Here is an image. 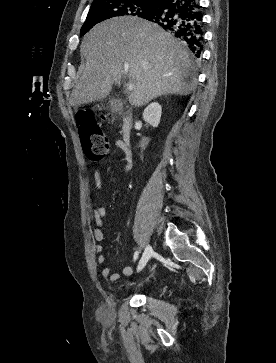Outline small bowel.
Listing matches in <instances>:
<instances>
[{"label":"small bowel","instance_id":"small-bowel-1","mask_svg":"<svg viewBox=\"0 0 276 363\" xmlns=\"http://www.w3.org/2000/svg\"><path fill=\"white\" fill-rule=\"evenodd\" d=\"M116 146L119 148L124 147V143L120 140L116 141ZM132 167V156L130 153H126L124 158V169L129 170ZM95 186L98 191L102 189V180L101 174L98 170H95L93 173ZM107 214L106 207H97L93 210L92 217L96 223V228L94 229V237L97 241V245L95 247V253L97 256V263L101 266L100 274L103 278L110 280L111 282H117L121 275L124 276H132L133 275V268L131 266H124L121 269V273H111L110 268L106 265V257L104 255V247L101 244L103 241V232L102 228L104 226L103 219Z\"/></svg>","mask_w":276,"mask_h":363}]
</instances>
